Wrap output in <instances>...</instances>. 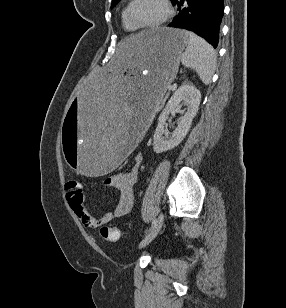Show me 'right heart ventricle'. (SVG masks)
<instances>
[{"label":"right heart ventricle","instance_id":"e07e8e85","mask_svg":"<svg viewBox=\"0 0 286 308\" xmlns=\"http://www.w3.org/2000/svg\"><path fill=\"white\" fill-rule=\"evenodd\" d=\"M129 3H127L124 8L122 9L121 12V23L122 27L125 31L127 32H136L138 29H136L129 21L127 18V8H128Z\"/></svg>","mask_w":286,"mask_h":308}]
</instances>
